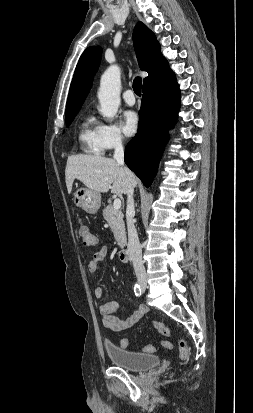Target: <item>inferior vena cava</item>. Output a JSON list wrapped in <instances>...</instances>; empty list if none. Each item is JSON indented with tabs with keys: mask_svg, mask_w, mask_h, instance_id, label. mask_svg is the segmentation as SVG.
I'll return each instance as SVG.
<instances>
[{
	"mask_svg": "<svg viewBox=\"0 0 253 413\" xmlns=\"http://www.w3.org/2000/svg\"><path fill=\"white\" fill-rule=\"evenodd\" d=\"M114 159L116 162L124 166V149L122 145L121 138H117L114 146ZM134 187L130 186L127 191V209H126V218H127V229H128V248L130 249L131 259L135 274L137 277H145L146 272L142 261V250L137 235V231L134 225V199H133Z\"/></svg>",
	"mask_w": 253,
	"mask_h": 413,
	"instance_id": "602c4592",
	"label": "inferior vena cava"
}]
</instances>
